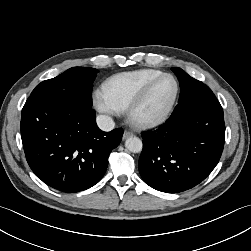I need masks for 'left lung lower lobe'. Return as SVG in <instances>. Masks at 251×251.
Listing matches in <instances>:
<instances>
[{
	"instance_id": "left-lung-lower-lobe-1",
	"label": "left lung lower lobe",
	"mask_w": 251,
	"mask_h": 251,
	"mask_svg": "<svg viewBox=\"0 0 251 251\" xmlns=\"http://www.w3.org/2000/svg\"><path fill=\"white\" fill-rule=\"evenodd\" d=\"M142 138L143 180L166 193L191 189L219 162L225 141L223 109L205 84L193 85L180 93L167 122Z\"/></svg>"
}]
</instances>
